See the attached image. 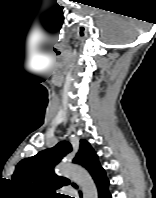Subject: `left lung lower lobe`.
Wrapping results in <instances>:
<instances>
[{"label": "left lung lower lobe", "instance_id": "0a47b994", "mask_svg": "<svg viewBox=\"0 0 156 198\" xmlns=\"http://www.w3.org/2000/svg\"><path fill=\"white\" fill-rule=\"evenodd\" d=\"M97 186L98 190V196L99 198H112L111 194L109 192V180L106 176L105 171H102L94 180ZM80 197L82 198V195L80 194Z\"/></svg>", "mask_w": 156, "mask_h": 198}]
</instances>
